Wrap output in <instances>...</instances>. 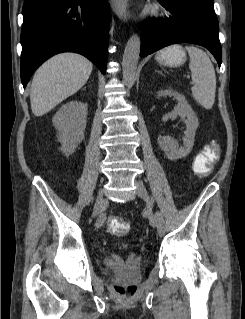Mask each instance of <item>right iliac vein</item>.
I'll return each instance as SVG.
<instances>
[{
	"mask_svg": "<svg viewBox=\"0 0 245 319\" xmlns=\"http://www.w3.org/2000/svg\"><path fill=\"white\" fill-rule=\"evenodd\" d=\"M106 202L103 198V193L102 191H100L97 195L96 201H95V205L93 208V213L92 216H96L98 214V212L105 206ZM96 226L99 227L100 225L98 223H96Z\"/></svg>",
	"mask_w": 245,
	"mask_h": 319,
	"instance_id": "right-iliac-vein-1",
	"label": "right iliac vein"
}]
</instances>
